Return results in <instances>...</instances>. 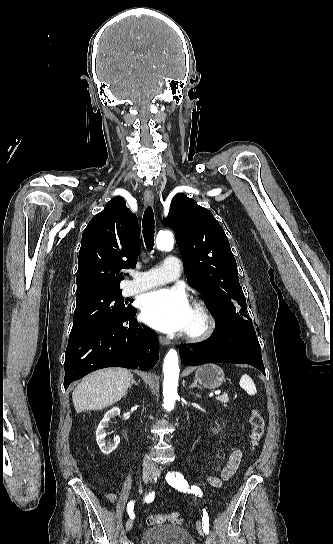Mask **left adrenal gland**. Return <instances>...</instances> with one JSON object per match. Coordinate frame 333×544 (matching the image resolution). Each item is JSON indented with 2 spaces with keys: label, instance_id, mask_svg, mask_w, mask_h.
<instances>
[{
  "label": "left adrenal gland",
  "instance_id": "obj_1",
  "mask_svg": "<svg viewBox=\"0 0 333 544\" xmlns=\"http://www.w3.org/2000/svg\"><path fill=\"white\" fill-rule=\"evenodd\" d=\"M194 387H197V388L201 389V387L197 384L196 379L194 380V383L191 386H189V389L194 388Z\"/></svg>",
  "mask_w": 333,
  "mask_h": 544
}]
</instances>
